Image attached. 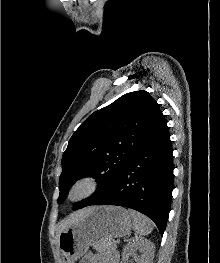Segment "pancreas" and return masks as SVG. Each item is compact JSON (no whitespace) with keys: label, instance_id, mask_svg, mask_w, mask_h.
I'll use <instances>...</instances> for the list:
<instances>
[{"label":"pancreas","instance_id":"1","mask_svg":"<svg viewBox=\"0 0 220 263\" xmlns=\"http://www.w3.org/2000/svg\"><path fill=\"white\" fill-rule=\"evenodd\" d=\"M114 249V243L113 242H110V243H107V244H103L100 248V251L101 252H108L110 250Z\"/></svg>","mask_w":220,"mask_h":263}]
</instances>
